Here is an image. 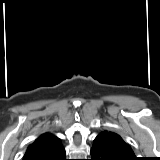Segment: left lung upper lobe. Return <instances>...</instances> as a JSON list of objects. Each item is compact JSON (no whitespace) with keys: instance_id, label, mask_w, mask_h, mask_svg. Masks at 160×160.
<instances>
[{"instance_id":"5c2ea615","label":"left lung upper lobe","mask_w":160,"mask_h":160,"mask_svg":"<svg viewBox=\"0 0 160 160\" xmlns=\"http://www.w3.org/2000/svg\"><path fill=\"white\" fill-rule=\"evenodd\" d=\"M103 133H106L108 134L112 140L115 141V143L117 145H119L121 148H123V150L125 151V153L129 156V157H132L134 159H137V157L135 156L132 148L130 147L129 144H127L122 138L120 135L114 133V132H110V131H103Z\"/></svg>"}]
</instances>
